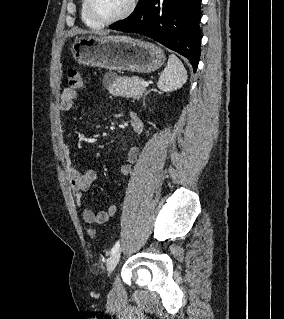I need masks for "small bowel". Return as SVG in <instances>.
<instances>
[{"mask_svg": "<svg viewBox=\"0 0 284 319\" xmlns=\"http://www.w3.org/2000/svg\"><path fill=\"white\" fill-rule=\"evenodd\" d=\"M77 97L76 91L72 88H66L62 92L58 108L61 111H68L72 108L74 101ZM131 127L135 133H141L144 130V124L136 113L131 114ZM150 128L145 129L146 136L150 135ZM66 135H69L66 132ZM139 148L132 147L128 151V162L123 164L120 168V174L123 178H128L132 172V165L136 162L139 155ZM67 175L74 192L76 205L82 208V218L88 224H103L116 214L117 208L115 205H110L107 209L94 212L91 209L83 207L84 193L89 190L92 183L96 179V173L92 169H87L80 172L70 161L67 159Z\"/></svg>", "mask_w": 284, "mask_h": 319, "instance_id": "obj_1", "label": "small bowel"}]
</instances>
